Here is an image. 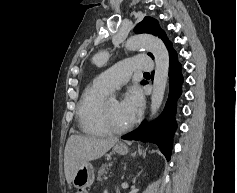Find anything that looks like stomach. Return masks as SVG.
<instances>
[{
	"label": "stomach",
	"mask_w": 237,
	"mask_h": 193,
	"mask_svg": "<svg viewBox=\"0 0 237 193\" xmlns=\"http://www.w3.org/2000/svg\"><path fill=\"white\" fill-rule=\"evenodd\" d=\"M113 150L119 155H125L128 153V148L123 143H117L113 147ZM94 177L95 174L93 166L90 163H84L77 169L72 183L76 188H87L93 184Z\"/></svg>",
	"instance_id": "0dacf381"
}]
</instances>
